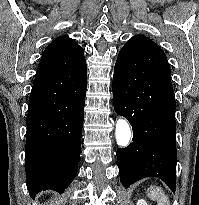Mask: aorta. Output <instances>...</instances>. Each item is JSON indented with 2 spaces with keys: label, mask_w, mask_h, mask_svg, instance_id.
I'll list each match as a JSON object with an SVG mask.
<instances>
[{
  "label": "aorta",
  "mask_w": 199,
  "mask_h": 205,
  "mask_svg": "<svg viewBox=\"0 0 199 205\" xmlns=\"http://www.w3.org/2000/svg\"><path fill=\"white\" fill-rule=\"evenodd\" d=\"M116 142L120 147H126L131 140V130L128 122L120 118L116 122Z\"/></svg>",
  "instance_id": "762f6f07"
}]
</instances>
